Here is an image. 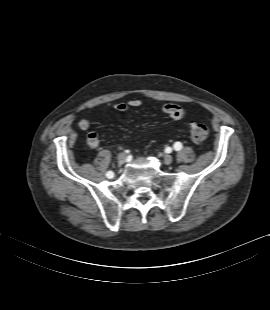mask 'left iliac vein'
Returning <instances> with one entry per match:
<instances>
[{"label":"left iliac vein","mask_w":270,"mask_h":310,"mask_svg":"<svg viewBox=\"0 0 270 310\" xmlns=\"http://www.w3.org/2000/svg\"><path fill=\"white\" fill-rule=\"evenodd\" d=\"M163 159H164V163L167 164V165L170 164L172 162V160H173L172 156L169 155V154L164 155Z\"/></svg>","instance_id":"obj_1"}]
</instances>
